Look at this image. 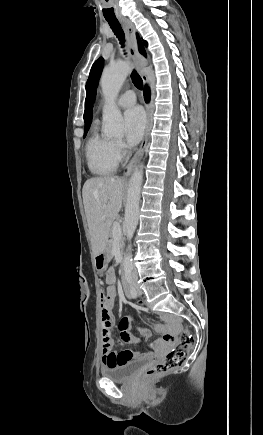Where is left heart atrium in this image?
Instances as JSON below:
<instances>
[{"mask_svg":"<svg viewBox=\"0 0 263 435\" xmlns=\"http://www.w3.org/2000/svg\"><path fill=\"white\" fill-rule=\"evenodd\" d=\"M125 136L130 145L137 144L145 129V115L140 107H132L124 114Z\"/></svg>","mask_w":263,"mask_h":435,"instance_id":"39dd6f15","label":"left heart atrium"}]
</instances>
